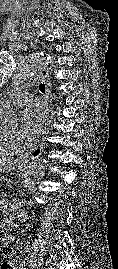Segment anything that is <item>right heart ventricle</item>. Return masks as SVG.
<instances>
[{
  "instance_id": "1",
  "label": "right heart ventricle",
  "mask_w": 118,
  "mask_h": 269,
  "mask_svg": "<svg viewBox=\"0 0 118 269\" xmlns=\"http://www.w3.org/2000/svg\"><path fill=\"white\" fill-rule=\"evenodd\" d=\"M17 149L0 139V152H15Z\"/></svg>"
}]
</instances>
